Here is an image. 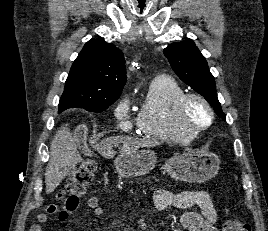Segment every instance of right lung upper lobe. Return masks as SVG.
I'll return each instance as SVG.
<instances>
[{"mask_svg":"<svg viewBox=\"0 0 268 231\" xmlns=\"http://www.w3.org/2000/svg\"><path fill=\"white\" fill-rule=\"evenodd\" d=\"M126 79L122 51L103 39H91L73 63L59 103L98 104L117 99Z\"/></svg>","mask_w":268,"mask_h":231,"instance_id":"obj_1","label":"right lung upper lobe"}]
</instances>
